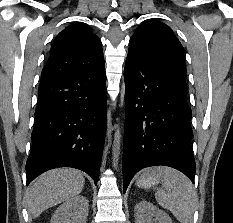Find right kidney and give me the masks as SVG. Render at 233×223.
Returning a JSON list of instances; mask_svg holds the SVG:
<instances>
[{
	"label": "right kidney",
	"instance_id": "obj_1",
	"mask_svg": "<svg viewBox=\"0 0 233 223\" xmlns=\"http://www.w3.org/2000/svg\"><path fill=\"white\" fill-rule=\"evenodd\" d=\"M88 211L89 199L84 195H74L57 207L51 223H86Z\"/></svg>",
	"mask_w": 233,
	"mask_h": 223
}]
</instances>
